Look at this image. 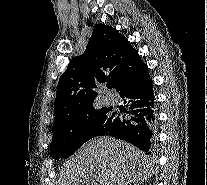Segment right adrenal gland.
Instances as JSON below:
<instances>
[{
	"mask_svg": "<svg viewBox=\"0 0 207 185\" xmlns=\"http://www.w3.org/2000/svg\"><path fill=\"white\" fill-rule=\"evenodd\" d=\"M132 185H141V183H132Z\"/></svg>",
	"mask_w": 207,
	"mask_h": 185,
	"instance_id": "right-adrenal-gland-1",
	"label": "right adrenal gland"
}]
</instances>
